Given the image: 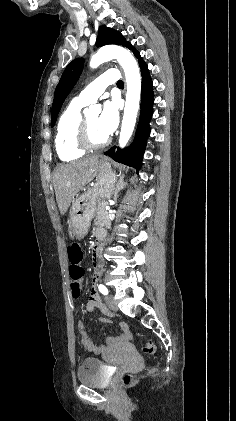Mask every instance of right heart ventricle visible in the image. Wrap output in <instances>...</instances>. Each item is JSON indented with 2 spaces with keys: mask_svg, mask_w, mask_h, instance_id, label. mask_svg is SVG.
Instances as JSON below:
<instances>
[{
  "mask_svg": "<svg viewBox=\"0 0 236 421\" xmlns=\"http://www.w3.org/2000/svg\"><path fill=\"white\" fill-rule=\"evenodd\" d=\"M83 106L73 100L59 117L56 128L55 148L58 157L64 162H74L85 154V151L78 147L74 138L76 125L82 117L81 110Z\"/></svg>",
  "mask_w": 236,
  "mask_h": 421,
  "instance_id": "right-heart-ventricle-1",
  "label": "right heart ventricle"
}]
</instances>
